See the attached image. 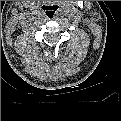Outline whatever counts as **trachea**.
Segmentation results:
<instances>
[{"label": "trachea", "instance_id": "obj_1", "mask_svg": "<svg viewBox=\"0 0 121 121\" xmlns=\"http://www.w3.org/2000/svg\"><path fill=\"white\" fill-rule=\"evenodd\" d=\"M46 15H47V17L50 18V19L54 18L55 15H56V9L53 8V7H48V8L46 9Z\"/></svg>", "mask_w": 121, "mask_h": 121}]
</instances>
